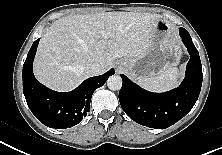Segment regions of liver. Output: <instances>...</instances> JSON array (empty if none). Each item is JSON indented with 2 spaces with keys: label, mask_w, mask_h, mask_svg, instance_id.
Here are the masks:
<instances>
[{
  "label": "liver",
  "mask_w": 222,
  "mask_h": 155,
  "mask_svg": "<svg viewBox=\"0 0 222 155\" xmlns=\"http://www.w3.org/2000/svg\"><path fill=\"white\" fill-rule=\"evenodd\" d=\"M158 19V14L134 12L60 18L41 37L34 74L51 89L71 90L89 77L86 66L91 62L99 63L104 73L118 58L144 56ZM102 31L107 33L106 39Z\"/></svg>",
  "instance_id": "1"
}]
</instances>
